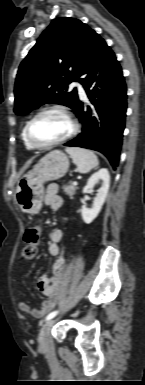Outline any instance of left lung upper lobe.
I'll use <instances>...</instances> for the list:
<instances>
[{"instance_id":"obj_1","label":"left lung upper lobe","mask_w":145,"mask_h":385,"mask_svg":"<svg viewBox=\"0 0 145 385\" xmlns=\"http://www.w3.org/2000/svg\"><path fill=\"white\" fill-rule=\"evenodd\" d=\"M95 31L75 18H57L41 34L20 64L15 83V108L24 115L45 103H56L77 110L76 88L80 71L90 53Z\"/></svg>"}]
</instances>
